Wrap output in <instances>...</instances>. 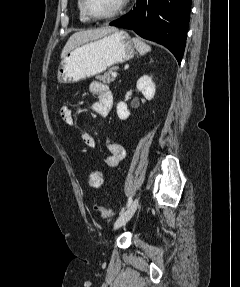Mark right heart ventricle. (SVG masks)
I'll return each mask as SVG.
<instances>
[{
    "label": "right heart ventricle",
    "instance_id": "right-heart-ventricle-1",
    "mask_svg": "<svg viewBox=\"0 0 240 287\" xmlns=\"http://www.w3.org/2000/svg\"><path fill=\"white\" fill-rule=\"evenodd\" d=\"M77 8H78V13H79V18L83 22H88L89 18L87 15L84 13L83 7H82V0H77Z\"/></svg>",
    "mask_w": 240,
    "mask_h": 287
}]
</instances>
